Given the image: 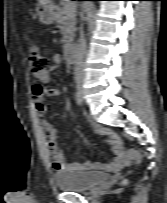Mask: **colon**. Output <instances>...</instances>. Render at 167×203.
Wrapping results in <instances>:
<instances>
[{
	"instance_id": "obj_1",
	"label": "colon",
	"mask_w": 167,
	"mask_h": 203,
	"mask_svg": "<svg viewBox=\"0 0 167 203\" xmlns=\"http://www.w3.org/2000/svg\"><path fill=\"white\" fill-rule=\"evenodd\" d=\"M28 61L30 70L35 75L44 72L48 67L49 61L47 56L36 46L33 40H29L28 42ZM140 160L141 156L137 150H123V163L130 165L131 163L139 162Z\"/></svg>"
}]
</instances>
